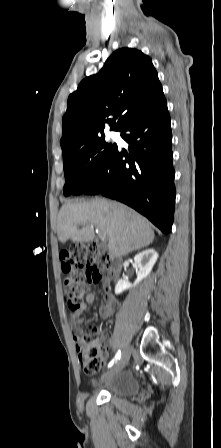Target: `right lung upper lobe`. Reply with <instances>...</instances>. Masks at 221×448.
Masks as SVG:
<instances>
[{"mask_svg":"<svg viewBox=\"0 0 221 448\" xmlns=\"http://www.w3.org/2000/svg\"><path fill=\"white\" fill-rule=\"evenodd\" d=\"M163 95L151 59L135 48L115 51L95 75L86 77L68 98L60 141L63 159L104 136L109 125L119 131L133 114ZM113 115V119H108Z\"/></svg>","mask_w":221,"mask_h":448,"instance_id":"cb5924a9","label":"right lung upper lobe"}]
</instances>
